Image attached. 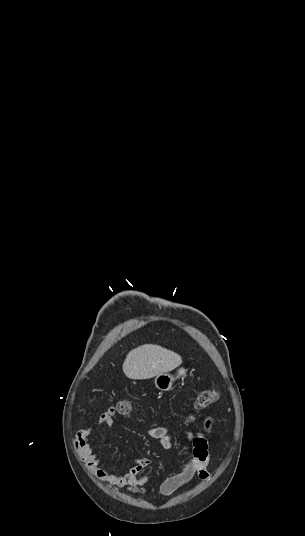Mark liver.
Instances as JSON below:
<instances>
[{"label": "liver", "instance_id": "obj_1", "mask_svg": "<svg viewBox=\"0 0 305 536\" xmlns=\"http://www.w3.org/2000/svg\"><path fill=\"white\" fill-rule=\"evenodd\" d=\"M182 364L181 356L153 344H144L127 354L123 372L130 380H149L158 374L171 372Z\"/></svg>", "mask_w": 305, "mask_h": 536}]
</instances>
